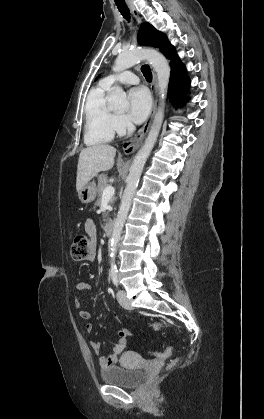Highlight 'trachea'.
<instances>
[{
  "mask_svg": "<svg viewBox=\"0 0 264 419\" xmlns=\"http://www.w3.org/2000/svg\"><path fill=\"white\" fill-rule=\"evenodd\" d=\"M116 6L119 10V12L122 14V16L126 19V20H130V12L128 7L126 6V4H119L116 3ZM141 71L143 73V75L145 76L146 80L151 82L152 81V73L150 70V67L148 65H143L141 67Z\"/></svg>",
  "mask_w": 264,
  "mask_h": 419,
  "instance_id": "1",
  "label": "trachea"
}]
</instances>
